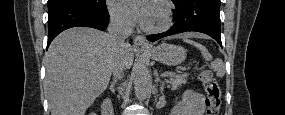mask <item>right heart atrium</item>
Returning <instances> with one entry per match:
<instances>
[{
    "mask_svg": "<svg viewBox=\"0 0 285 115\" xmlns=\"http://www.w3.org/2000/svg\"><path fill=\"white\" fill-rule=\"evenodd\" d=\"M108 9L112 20L122 26H130L132 24V18L130 14L117 2L109 1Z\"/></svg>",
    "mask_w": 285,
    "mask_h": 115,
    "instance_id": "1",
    "label": "right heart atrium"
}]
</instances>
